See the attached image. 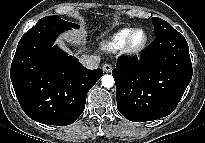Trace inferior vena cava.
<instances>
[{"label":"inferior vena cava","mask_w":205,"mask_h":143,"mask_svg":"<svg viewBox=\"0 0 205 143\" xmlns=\"http://www.w3.org/2000/svg\"><path fill=\"white\" fill-rule=\"evenodd\" d=\"M80 63L87 69H97L100 63V58L94 55H82L79 58Z\"/></svg>","instance_id":"1"}]
</instances>
